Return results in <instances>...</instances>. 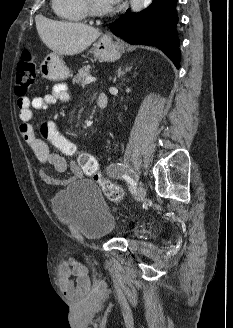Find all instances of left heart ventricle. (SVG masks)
I'll return each instance as SVG.
<instances>
[{"label":"left heart ventricle","instance_id":"obj_1","mask_svg":"<svg viewBox=\"0 0 233 328\" xmlns=\"http://www.w3.org/2000/svg\"><path fill=\"white\" fill-rule=\"evenodd\" d=\"M93 2L95 3V5H97L98 7L101 8H108V6L106 4H104L101 0H93Z\"/></svg>","mask_w":233,"mask_h":328}]
</instances>
